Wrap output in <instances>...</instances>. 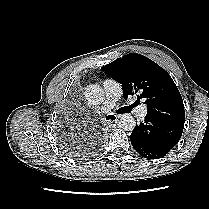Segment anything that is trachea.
I'll return each mask as SVG.
<instances>
[{
	"instance_id": "3493384b",
	"label": "trachea",
	"mask_w": 209,
	"mask_h": 209,
	"mask_svg": "<svg viewBox=\"0 0 209 209\" xmlns=\"http://www.w3.org/2000/svg\"><path fill=\"white\" fill-rule=\"evenodd\" d=\"M135 106L131 105V106H126V107H122L120 109L117 110L118 114H123V113H130L131 109ZM107 119H110L109 117H106Z\"/></svg>"
}]
</instances>
